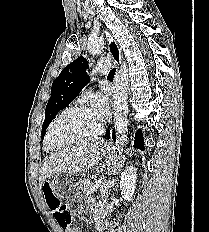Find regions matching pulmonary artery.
Here are the masks:
<instances>
[{"instance_id": "obj_1", "label": "pulmonary artery", "mask_w": 209, "mask_h": 232, "mask_svg": "<svg viewBox=\"0 0 209 232\" xmlns=\"http://www.w3.org/2000/svg\"><path fill=\"white\" fill-rule=\"evenodd\" d=\"M110 70V61L109 60H101L99 61L96 66L93 68L91 74H107Z\"/></svg>"}]
</instances>
